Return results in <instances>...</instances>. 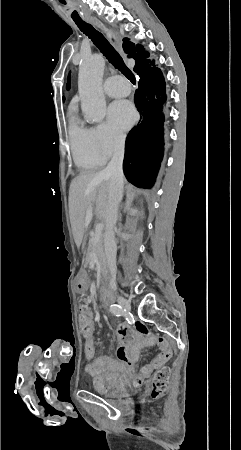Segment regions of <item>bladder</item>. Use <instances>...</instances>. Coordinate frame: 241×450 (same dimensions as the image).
Listing matches in <instances>:
<instances>
[{
  "label": "bladder",
  "instance_id": "obj_1",
  "mask_svg": "<svg viewBox=\"0 0 241 450\" xmlns=\"http://www.w3.org/2000/svg\"><path fill=\"white\" fill-rule=\"evenodd\" d=\"M106 394L109 396H120L122 394V389L119 387H113L107 391Z\"/></svg>",
  "mask_w": 241,
  "mask_h": 450
}]
</instances>
